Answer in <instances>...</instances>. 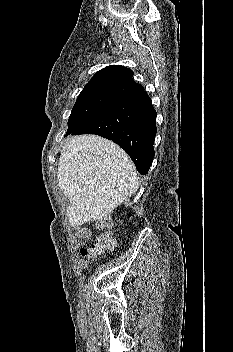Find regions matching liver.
I'll list each match as a JSON object with an SVG mask.
<instances>
[{
    "label": "liver",
    "mask_w": 233,
    "mask_h": 352,
    "mask_svg": "<svg viewBox=\"0 0 233 352\" xmlns=\"http://www.w3.org/2000/svg\"><path fill=\"white\" fill-rule=\"evenodd\" d=\"M69 222L81 226L109 215L139 186L136 167L115 143L96 135L71 138L58 163Z\"/></svg>",
    "instance_id": "1"
}]
</instances>
